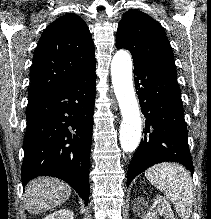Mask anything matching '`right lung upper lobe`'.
<instances>
[{"label": "right lung upper lobe", "mask_w": 211, "mask_h": 219, "mask_svg": "<svg viewBox=\"0 0 211 219\" xmlns=\"http://www.w3.org/2000/svg\"><path fill=\"white\" fill-rule=\"evenodd\" d=\"M95 64L94 44L84 20L72 13L59 17L44 30L35 50L28 100L53 91Z\"/></svg>", "instance_id": "right-lung-upper-lobe-1"}]
</instances>
